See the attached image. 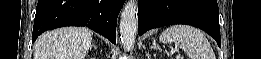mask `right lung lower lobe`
Segmentation results:
<instances>
[{
  "label": "right lung lower lobe",
  "instance_id": "obj_1",
  "mask_svg": "<svg viewBox=\"0 0 261 59\" xmlns=\"http://www.w3.org/2000/svg\"><path fill=\"white\" fill-rule=\"evenodd\" d=\"M125 0H38L32 42L46 30L87 26L116 44L117 17Z\"/></svg>",
  "mask_w": 261,
  "mask_h": 59
}]
</instances>
